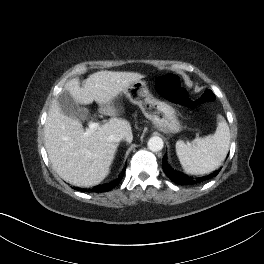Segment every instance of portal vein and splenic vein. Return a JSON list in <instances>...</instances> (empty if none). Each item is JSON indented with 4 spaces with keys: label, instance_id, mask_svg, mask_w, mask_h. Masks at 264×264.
I'll list each match as a JSON object with an SVG mask.
<instances>
[{
    "label": "portal vein and splenic vein",
    "instance_id": "1",
    "mask_svg": "<svg viewBox=\"0 0 264 264\" xmlns=\"http://www.w3.org/2000/svg\"><path fill=\"white\" fill-rule=\"evenodd\" d=\"M99 127L97 122H90L89 129L84 133L85 135H89L92 131L96 130Z\"/></svg>",
    "mask_w": 264,
    "mask_h": 264
}]
</instances>
